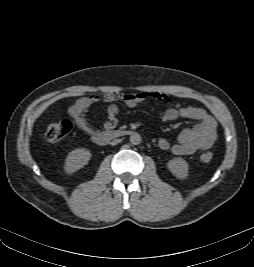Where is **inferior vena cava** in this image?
<instances>
[{
  "label": "inferior vena cava",
  "instance_id": "1",
  "mask_svg": "<svg viewBox=\"0 0 254 267\" xmlns=\"http://www.w3.org/2000/svg\"><path fill=\"white\" fill-rule=\"evenodd\" d=\"M119 142H120L119 139H115V140H113L110 144H111V145H116V144H118Z\"/></svg>",
  "mask_w": 254,
  "mask_h": 267
}]
</instances>
